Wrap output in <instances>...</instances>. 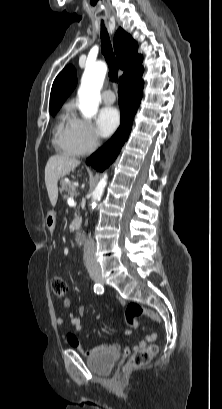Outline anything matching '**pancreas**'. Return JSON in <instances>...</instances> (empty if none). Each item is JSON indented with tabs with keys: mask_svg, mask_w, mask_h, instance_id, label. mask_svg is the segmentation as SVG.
<instances>
[{
	"mask_svg": "<svg viewBox=\"0 0 222 409\" xmlns=\"http://www.w3.org/2000/svg\"><path fill=\"white\" fill-rule=\"evenodd\" d=\"M60 192L68 193V195H63V198L66 199L68 196L74 197L75 195V186L70 182L61 180L60 182Z\"/></svg>",
	"mask_w": 222,
	"mask_h": 409,
	"instance_id": "1",
	"label": "pancreas"
}]
</instances>
